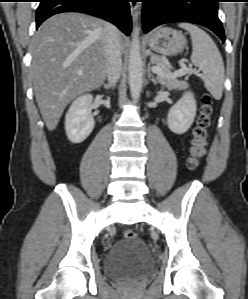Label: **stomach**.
<instances>
[{
  "instance_id": "obj_1",
  "label": "stomach",
  "mask_w": 248,
  "mask_h": 299,
  "mask_svg": "<svg viewBox=\"0 0 248 299\" xmlns=\"http://www.w3.org/2000/svg\"><path fill=\"white\" fill-rule=\"evenodd\" d=\"M186 38L181 31L161 27L155 30L148 39L150 49L156 53L172 56L186 46Z\"/></svg>"
}]
</instances>
